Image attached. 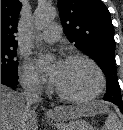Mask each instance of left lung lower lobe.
<instances>
[{"mask_svg": "<svg viewBox=\"0 0 123 130\" xmlns=\"http://www.w3.org/2000/svg\"><path fill=\"white\" fill-rule=\"evenodd\" d=\"M120 111L123 113V108H120Z\"/></svg>", "mask_w": 123, "mask_h": 130, "instance_id": "left-lung-lower-lobe-1", "label": "left lung lower lobe"}]
</instances>
